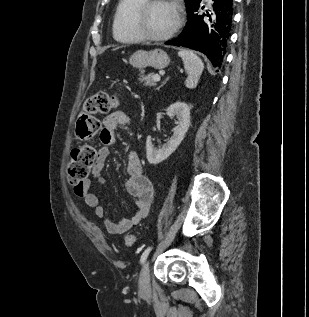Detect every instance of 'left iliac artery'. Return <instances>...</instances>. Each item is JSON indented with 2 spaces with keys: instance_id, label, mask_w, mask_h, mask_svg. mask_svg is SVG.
<instances>
[{
  "instance_id": "1",
  "label": "left iliac artery",
  "mask_w": 309,
  "mask_h": 317,
  "mask_svg": "<svg viewBox=\"0 0 309 317\" xmlns=\"http://www.w3.org/2000/svg\"><path fill=\"white\" fill-rule=\"evenodd\" d=\"M151 250H152V246H149V247H147V248L145 249V251L142 253L141 258H140V263H141V264H143V263L146 261V259H147V257H148V255H149V253H150Z\"/></svg>"
}]
</instances>
